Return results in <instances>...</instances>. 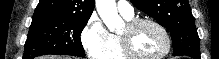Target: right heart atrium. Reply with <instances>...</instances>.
I'll return each instance as SVG.
<instances>
[{
    "instance_id": "right-heart-atrium-1",
    "label": "right heart atrium",
    "mask_w": 219,
    "mask_h": 59,
    "mask_svg": "<svg viewBox=\"0 0 219 59\" xmlns=\"http://www.w3.org/2000/svg\"><path fill=\"white\" fill-rule=\"evenodd\" d=\"M81 43L90 59H106L113 45V35L97 15H92L81 32Z\"/></svg>"
}]
</instances>
